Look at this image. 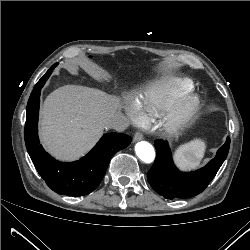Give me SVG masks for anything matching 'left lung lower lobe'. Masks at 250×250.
<instances>
[{"label": "left lung lower lobe", "mask_w": 250, "mask_h": 250, "mask_svg": "<svg viewBox=\"0 0 250 250\" xmlns=\"http://www.w3.org/2000/svg\"><path fill=\"white\" fill-rule=\"evenodd\" d=\"M156 159L147 173L152 188L168 199L189 198L206 189L227 157L230 139L217 151L216 156L203 168L193 172H180L174 165L167 142L155 141Z\"/></svg>", "instance_id": "1"}]
</instances>
